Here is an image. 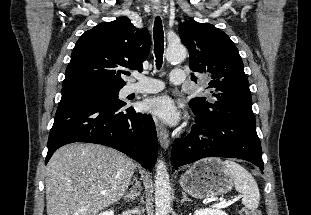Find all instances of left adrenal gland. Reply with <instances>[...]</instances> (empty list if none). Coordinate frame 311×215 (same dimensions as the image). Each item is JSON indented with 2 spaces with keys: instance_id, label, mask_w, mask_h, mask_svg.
Wrapping results in <instances>:
<instances>
[{
  "instance_id": "a2214340",
  "label": "left adrenal gland",
  "mask_w": 311,
  "mask_h": 215,
  "mask_svg": "<svg viewBox=\"0 0 311 215\" xmlns=\"http://www.w3.org/2000/svg\"><path fill=\"white\" fill-rule=\"evenodd\" d=\"M186 201L193 202L191 199L187 198L186 193H183V199L181 200V203H184Z\"/></svg>"
}]
</instances>
